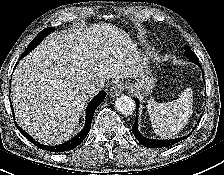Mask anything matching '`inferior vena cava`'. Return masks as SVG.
<instances>
[{
  "mask_svg": "<svg viewBox=\"0 0 224 175\" xmlns=\"http://www.w3.org/2000/svg\"><path fill=\"white\" fill-rule=\"evenodd\" d=\"M100 83L89 84L84 88V93L87 97L95 95L101 88Z\"/></svg>",
  "mask_w": 224,
  "mask_h": 175,
  "instance_id": "obj_1",
  "label": "inferior vena cava"
}]
</instances>
